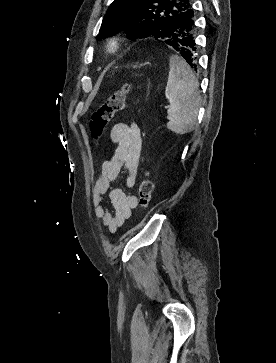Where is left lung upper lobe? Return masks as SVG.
I'll return each instance as SVG.
<instances>
[{"mask_svg": "<svg viewBox=\"0 0 276 363\" xmlns=\"http://www.w3.org/2000/svg\"><path fill=\"white\" fill-rule=\"evenodd\" d=\"M190 0H114L103 19L98 39L125 31L128 38L155 37L163 42Z\"/></svg>", "mask_w": 276, "mask_h": 363, "instance_id": "left-lung-upper-lobe-1", "label": "left lung upper lobe"}]
</instances>
